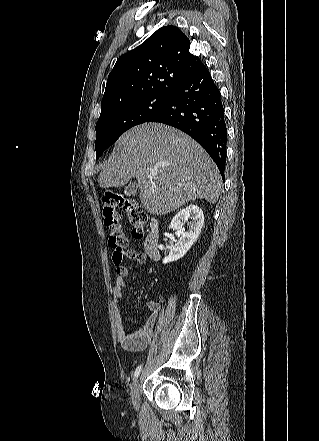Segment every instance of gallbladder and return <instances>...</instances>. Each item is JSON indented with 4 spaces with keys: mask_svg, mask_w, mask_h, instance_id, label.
Returning a JSON list of instances; mask_svg holds the SVG:
<instances>
[{
    "mask_svg": "<svg viewBox=\"0 0 319 441\" xmlns=\"http://www.w3.org/2000/svg\"><path fill=\"white\" fill-rule=\"evenodd\" d=\"M138 189V185L136 182H132L129 183L125 188H124V194L126 196H132L137 192Z\"/></svg>",
    "mask_w": 319,
    "mask_h": 441,
    "instance_id": "gallbladder-1",
    "label": "gallbladder"
}]
</instances>
